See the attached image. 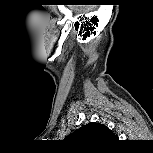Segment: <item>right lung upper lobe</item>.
<instances>
[{"label": "right lung upper lobe", "mask_w": 153, "mask_h": 153, "mask_svg": "<svg viewBox=\"0 0 153 153\" xmlns=\"http://www.w3.org/2000/svg\"><path fill=\"white\" fill-rule=\"evenodd\" d=\"M74 144L95 147L116 140L113 132L103 124L91 122L66 137Z\"/></svg>", "instance_id": "1"}]
</instances>
